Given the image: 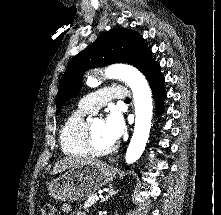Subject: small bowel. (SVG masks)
Returning a JSON list of instances; mask_svg holds the SVG:
<instances>
[{
  "label": "small bowel",
  "mask_w": 221,
  "mask_h": 215,
  "mask_svg": "<svg viewBox=\"0 0 221 215\" xmlns=\"http://www.w3.org/2000/svg\"><path fill=\"white\" fill-rule=\"evenodd\" d=\"M61 209L64 213L68 214V213L71 212L72 207L69 203H64V204H62ZM77 215H85V214L84 213H78Z\"/></svg>",
  "instance_id": "1"
}]
</instances>
